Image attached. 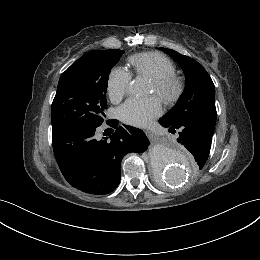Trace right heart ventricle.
<instances>
[{
  "label": "right heart ventricle",
  "instance_id": "e07e8e85",
  "mask_svg": "<svg viewBox=\"0 0 260 260\" xmlns=\"http://www.w3.org/2000/svg\"><path fill=\"white\" fill-rule=\"evenodd\" d=\"M133 72L150 79L173 75L175 66L165 55L158 52L134 54L128 58Z\"/></svg>",
  "mask_w": 260,
  "mask_h": 260
}]
</instances>
